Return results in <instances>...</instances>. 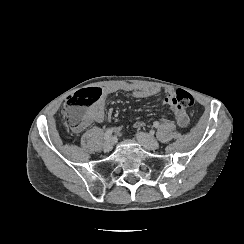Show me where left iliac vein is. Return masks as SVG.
Returning <instances> with one entry per match:
<instances>
[{"instance_id":"1","label":"left iliac vein","mask_w":244,"mask_h":244,"mask_svg":"<svg viewBox=\"0 0 244 244\" xmlns=\"http://www.w3.org/2000/svg\"><path fill=\"white\" fill-rule=\"evenodd\" d=\"M136 139L146 150H155L159 147L157 140L150 134L139 132Z\"/></svg>"}]
</instances>
